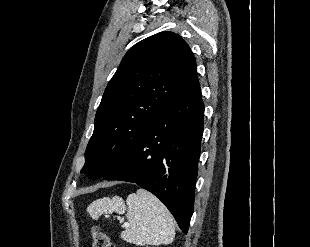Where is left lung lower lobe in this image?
Masks as SVG:
<instances>
[{"label":"left lung lower lobe","instance_id":"left-lung-lower-lobe-1","mask_svg":"<svg viewBox=\"0 0 310 247\" xmlns=\"http://www.w3.org/2000/svg\"><path fill=\"white\" fill-rule=\"evenodd\" d=\"M203 115L196 81L150 125L132 153L104 176L136 183L153 193L184 233L193 214Z\"/></svg>","mask_w":310,"mask_h":247}]
</instances>
